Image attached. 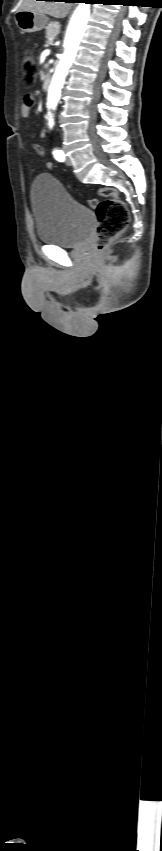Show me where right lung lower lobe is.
<instances>
[{
  "instance_id": "98d812e1",
  "label": "right lung lower lobe",
  "mask_w": 162,
  "mask_h": 851,
  "mask_svg": "<svg viewBox=\"0 0 162 851\" xmlns=\"http://www.w3.org/2000/svg\"><path fill=\"white\" fill-rule=\"evenodd\" d=\"M46 1H57V0H46ZM65 2H77L78 0H64ZM86 3H93V0H83Z\"/></svg>"
}]
</instances>
